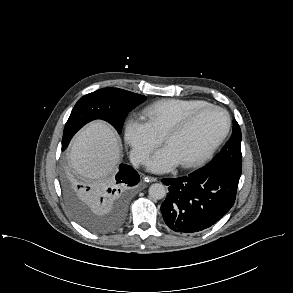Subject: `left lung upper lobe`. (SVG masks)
<instances>
[{
    "label": "left lung upper lobe",
    "mask_w": 293,
    "mask_h": 293,
    "mask_svg": "<svg viewBox=\"0 0 293 293\" xmlns=\"http://www.w3.org/2000/svg\"><path fill=\"white\" fill-rule=\"evenodd\" d=\"M241 130L236 120L233 121V132L230 140L222 151L206 166L223 168L235 175L241 176L242 154H241Z\"/></svg>",
    "instance_id": "left-lung-upper-lobe-1"
}]
</instances>
